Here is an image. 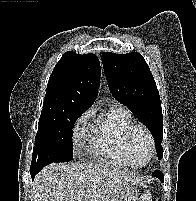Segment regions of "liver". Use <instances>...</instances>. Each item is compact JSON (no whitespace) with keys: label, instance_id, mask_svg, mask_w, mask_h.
I'll return each mask as SVG.
<instances>
[{"label":"liver","instance_id":"obj_1","mask_svg":"<svg viewBox=\"0 0 196 201\" xmlns=\"http://www.w3.org/2000/svg\"><path fill=\"white\" fill-rule=\"evenodd\" d=\"M141 185L133 173L111 162L53 163L35 177V201H118L123 188Z\"/></svg>","mask_w":196,"mask_h":201}]
</instances>
